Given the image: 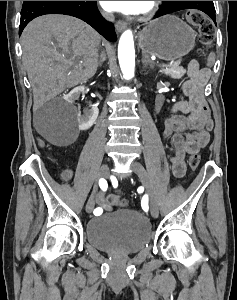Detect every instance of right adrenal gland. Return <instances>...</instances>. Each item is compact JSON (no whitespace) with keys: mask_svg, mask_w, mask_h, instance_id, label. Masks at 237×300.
<instances>
[{"mask_svg":"<svg viewBox=\"0 0 237 300\" xmlns=\"http://www.w3.org/2000/svg\"><path fill=\"white\" fill-rule=\"evenodd\" d=\"M104 61H106V53H105L104 49H102L99 63H98L99 67H102Z\"/></svg>","mask_w":237,"mask_h":300,"instance_id":"right-adrenal-gland-1","label":"right adrenal gland"}]
</instances>
